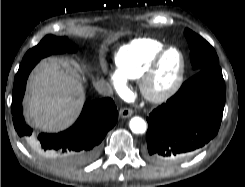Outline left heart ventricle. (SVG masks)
Segmentation results:
<instances>
[{"label":"left heart ventricle","mask_w":245,"mask_h":187,"mask_svg":"<svg viewBox=\"0 0 245 187\" xmlns=\"http://www.w3.org/2000/svg\"><path fill=\"white\" fill-rule=\"evenodd\" d=\"M180 67V58L176 51H170L164 57L157 78L154 81L153 88L161 90L167 87L176 76Z\"/></svg>","instance_id":"obj_1"}]
</instances>
